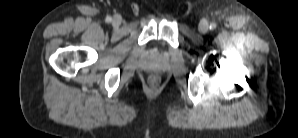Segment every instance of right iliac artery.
Returning <instances> with one entry per match:
<instances>
[{"mask_svg":"<svg viewBox=\"0 0 298 138\" xmlns=\"http://www.w3.org/2000/svg\"><path fill=\"white\" fill-rule=\"evenodd\" d=\"M105 20H106V22L109 23V22H111L112 18L110 16H107Z\"/></svg>","mask_w":298,"mask_h":138,"instance_id":"obj_1","label":"right iliac artery"}]
</instances>
